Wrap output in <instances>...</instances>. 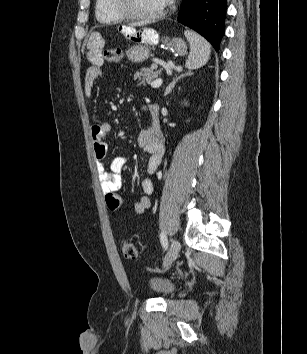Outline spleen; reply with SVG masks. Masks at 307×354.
I'll return each mask as SVG.
<instances>
[{
  "label": "spleen",
  "instance_id": "1",
  "mask_svg": "<svg viewBox=\"0 0 307 354\" xmlns=\"http://www.w3.org/2000/svg\"><path fill=\"white\" fill-rule=\"evenodd\" d=\"M186 37L190 45V54L185 66L188 69H198L208 62L211 46L206 39L193 31H186Z\"/></svg>",
  "mask_w": 307,
  "mask_h": 354
}]
</instances>
